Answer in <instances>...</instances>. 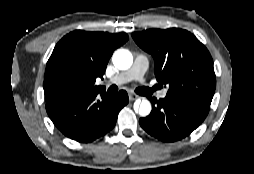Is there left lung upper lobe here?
I'll use <instances>...</instances> for the list:
<instances>
[{
    "mask_svg": "<svg viewBox=\"0 0 254 174\" xmlns=\"http://www.w3.org/2000/svg\"><path fill=\"white\" fill-rule=\"evenodd\" d=\"M155 60V76L167 84V97L193 99L210 106L216 87L213 61L207 48L190 32L149 29L131 34Z\"/></svg>",
    "mask_w": 254,
    "mask_h": 174,
    "instance_id": "left-lung-upper-lobe-1",
    "label": "left lung upper lobe"
}]
</instances>
